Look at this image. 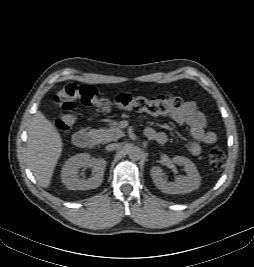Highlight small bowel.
Wrapping results in <instances>:
<instances>
[{
	"label": "small bowel",
	"mask_w": 254,
	"mask_h": 267,
	"mask_svg": "<svg viewBox=\"0 0 254 267\" xmlns=\"http://www.w3.org/2000/svg\"><path fill=\"white\" fill-rule=\"evenodd\" d=\"M170 117L176 123L189 127L192 140L187 144V150L191 155L198 156L202 151V145L209 146L216 142V135L207 130L206 118L198 109L196 102H184L170 114ZM145 134L149 139L160 144H165L168 141V136L164 132L156 131L151 127L146 129Z\"/></svg>",
	"instance_id": "c3829d8e"
}]
</instances>
